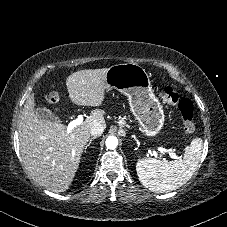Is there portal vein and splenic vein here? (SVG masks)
I'll list each match as a JSON object with an SVG mask.
<instances>
[{
	"instance_id": "portal-vein-and-splenic-vein-1",
	"label": "portal vein and splenic vein",
	"mask_w": 227,
	"mask_h": 227,
	"mask_svg": "<svg viewBox=\"0 0 227 227\" xmlns=\"http://www.w3.org/2000/svg\"><path fill=\"white\" fill-rule=\"evenodd\" d=\"M83 122V115L79 114L78 117L71 121L67 126V133H70L76 126L80 125ZM162 154H168L170 158L180 159L172 150H167L164 148H159ZM154 156L157 157V153L153 151Z\"/></svg>"
}]
</instances>
